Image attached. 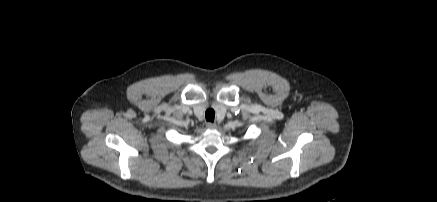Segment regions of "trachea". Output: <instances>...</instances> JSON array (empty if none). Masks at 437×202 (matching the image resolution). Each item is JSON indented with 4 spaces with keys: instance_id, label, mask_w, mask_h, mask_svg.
Listing matches in <instances>:
<instances>
[{
    "instance_id": "obj_1",
    "label": "trachea",
    "mask_w": 437,
    "mask_h": 202,
    "mask_svg": "<svg viewBox=\"0 0 437 202\" xmlns=\"http://www.w3.org/2000/svg\"><path fill=\"white\" fill-rule=\"evenodd\" d=\"M206 116V120L213 122L214 121V117H215V112L213 109H208L205 113Z\"/></svg>"
}]
</instances>
